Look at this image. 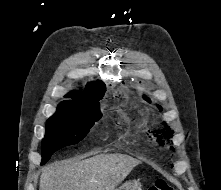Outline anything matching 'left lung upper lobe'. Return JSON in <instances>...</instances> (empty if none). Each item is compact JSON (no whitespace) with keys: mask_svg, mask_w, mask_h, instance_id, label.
Returning <instances> with one entry per match:
<instances>
[{"mask_svg":"<svg viewBox=\"0 0 221 190\" xmlns=\"http://www.w3.org/2000/svg\"><path fill=\"white\" fill-rule=\"evenodd\" d=\"M144 98V100H146L147 102H150V100H149V98H147L146 96H144L143 97ZM158 109L161 111L162 110V108L158 105Z\"/></svg>","mask_w":221,"mask_h":190,"instance_id":"left-lung-upper-lobe-1","label":"left lung upper lobe"}]
</instances>
